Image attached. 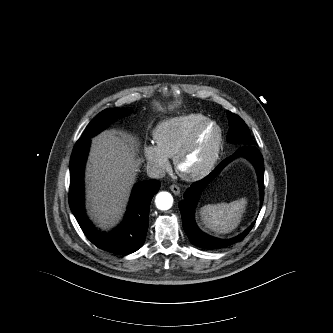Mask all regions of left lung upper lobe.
Masks as SVG:
<instances>
[{
    "instance_id": "obj_1",
    "label": "left lung upper lobe",
    "mask_w": 333,
    "mask_h": 333,
    "mask_svg": "<svg viewBox=\"0 0 333 333\" xmlns=\"http://www.w3.org/2000/svg\"><path fill=\"white\" fill-rule=\"evenodd\" d=\"M230 129L228 131L227 140L230 143L241 145H252L253 139L245 122L236 114L227 111Z\"/></svg>"
}]
</instances>
